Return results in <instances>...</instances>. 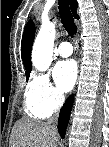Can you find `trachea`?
<instances>
[{
	"mask_svg": "<svg viewBox=\"0 0 109 147\" xmlns=\"http://www.w3.org/2000/svg\"><path fill=\"white\" fill-rule=\"evenodd\" d=\"M59 14L61 17V22L63 27L68 32L69 36L73 37V35L77 32V26L74 23L73 15L70 11L69 1L68 0H59Z\"/></svg>",
	"mask_w": 109,
	"mask_h": 147,
	"instance_id": "3493384b",
	"label": "trachea"
}]
</instances>
